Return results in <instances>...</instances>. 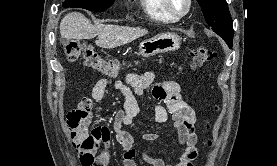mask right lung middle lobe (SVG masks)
Masks as SVG:
<instances>
[{"label": "right lung middle lobe", "mask_w": 277, "mask_h": 166, "mask_svg": "<svg viewBox=\"0 0 277 166\" xmlns=\"http://www.w3.org/2000/svg\"><path fill=\"white\" fill-rule=\"evenodd\" d=\"M115 0H65L63 7H78L90 11H104L112 6Z\"/></svg>", "instance_id": "dd1d6c3e"}]
</instances>
